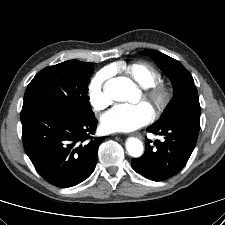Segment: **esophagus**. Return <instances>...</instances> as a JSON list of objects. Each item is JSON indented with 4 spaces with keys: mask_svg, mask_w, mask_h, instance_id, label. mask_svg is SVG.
<instances>
[{
    "mask_svg": "<svg viewBox=\"0 0 225 225\" xmlns=\"http://www.w3.org/2000/svg\"><path fill=\"white\" fill-rule=\"evenodd\" d=\"M133 135L141 140L143 139V136L140 133H133Z\"/></svg>",
    "mask_w": 225,
    "mask_h": 225,
    "instance_id": "1",
    "label": "esophagus"
}]
</instances>
